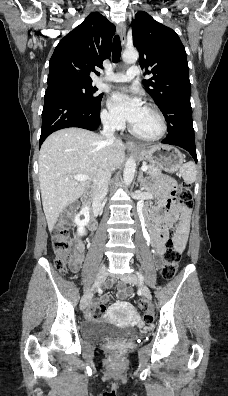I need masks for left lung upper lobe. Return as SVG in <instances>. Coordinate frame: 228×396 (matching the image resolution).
Wrapping results in <instances>:
<instances>
[{
    "mask_svg": "<svg viewBox=\"0 0 228 396\" xmlns=\"http://www.w3.org/2000/svg\"><path fill=\"white\" fill-rule=\"evenodd\" d=\"M131 25L140 66L146 69L145 75H152L143 84L160 110L179 97H190L186 51L176 32L146 12H138ZM174 107L179 114L181 104L175 102Z\"/></svg>",
    "mask_w": 228,
    "mask_h": 396,
    "instance_id": "left-lung-upper-lobe-1",
    "label": "left lung upper lobe"
}]
</instances>
